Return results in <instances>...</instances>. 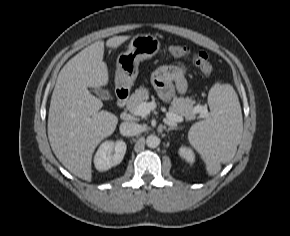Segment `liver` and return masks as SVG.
<instances>
[{"instance_id":"1","label":"liver","mask_w":290,"mask_h":236,"mask_svg":"<svg viewBox=\"0 0 290 236\" xmlns=\"http://www.w3.org/2000/svg\"><path fill=\"white\" fill-rule=\"evenodd\" d=\"M129 36L109 38L106 46L117 48ZM104 41H97L71 58L61 69L53 90L48 115V138L58 160L72 174L91 181L92 154L118 123L111 112L101 110L102 101L88 88L108 84L103 62Z\"/></svg>"}]
</instances>
